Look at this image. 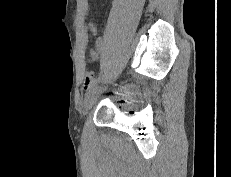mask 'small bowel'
Wrapping results in <instances>:
<instances>
[{
    "mask_svg": "<svg viewBox=\"0 0 231 177\" xmlns=\"http://www.w3.org/2000/svg\"><path fill=\"white\" fill-rule=\"evenodd\" d=\"M90 30L93 34H96V32H97V28L93 23L90 24ZM95 47H96V52H93L92 56H91V59L94 61L97 60L99 58V55L103 54V52H104V44L100 38H98L96 40ZM93 82H94V73L93 72H87L85 74L84 81H83L84 87L86 89L91 87Z\"/></svg>",
    "mask_w": 231,
    "mask_h": 177,
    "instance_id": "1",
    "label": "small bowel"
}]
</instances>
